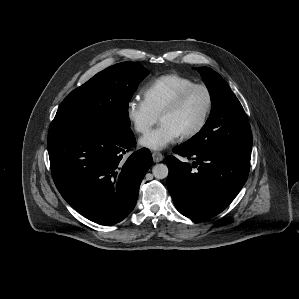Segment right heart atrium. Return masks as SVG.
Returning <instances> with one entry per match:
<instances>
[{
	"instance_id": "1",
	"label": "right heart atrium",
	"mask_w": 299,
	"mask_h": 299,
	"mask_svg": "<svg viewBox=\"0 0 299 299\" xmlns=\"http://www.w3.org/2000/svg\"><path fill=\"white\" fill-rule=\"evenodd\" d=\"M125 113L133 130L138 134H146L158 119L144 101L139 99L129 100Z\"/></svg>"
}]
</instances>
